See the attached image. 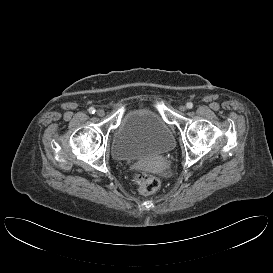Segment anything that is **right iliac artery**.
<instances>
[{"mask_svg": "<svg viewBox=\"0 0 273 273\" xmlns=\"http://www.w3.org/2000/svg\"><path fill=\"white\" fill-rule=\"evenodd\" d=\"M95 111H96V110H95L93 107H90V108H89V113L94 114Z\"/></svg>", "mask_w": 273, "mask_h": 273, "instance_id": "1", "label": "right iliac artery"}]
</instances>
